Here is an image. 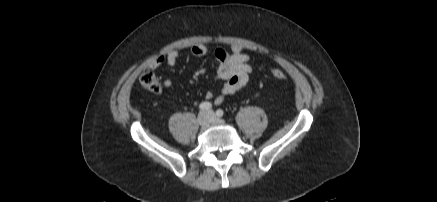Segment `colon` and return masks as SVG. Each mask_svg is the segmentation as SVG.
I'll list each match as a JSON object with an SVG mask.
<instances>
[{"label": "colon", "instance_id": "obj_1", "mask_svg": "<svg viewBox=\"0 0 437 202\" xmlns=\"http://www.w3.org/2000/svg\"><path fill=\"white\" fill-rule=\"evenodd\" d=\"M271 73L272 76L277 80H285L287 78L286 73L279 69H274ZM140 83L145 89L152 92H158L161 88L158 78L150 70L143 71V73L140 75Z\"/></svg>", "mask_w": 437, "mask_h": 202}]
</instances>
